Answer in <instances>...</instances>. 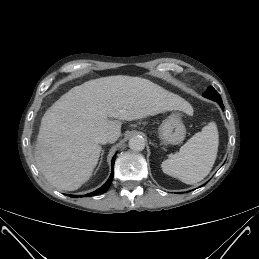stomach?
<instances>
[{
  "label": "stomach",
  "mask_w": 259,
  "mask_h": 259,
  "mask_svg": "<svg viewBox=\"0 0 259 259\" xmlns=\"http://www.w3.org/2000/svg\"><path fill=\"white\" fill-rule=\"evenodd\" d=\"M186 136V128L180 113H172L160 125L158 137L164 145L181 143Z\"/></svg>",
  "instance_id": "stomach-1"
}]
</instances>
